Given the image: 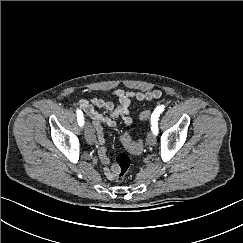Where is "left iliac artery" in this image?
<instances>
[{
  "mask_svg": "<svg viewBox=\"0 0 243 243\" xmlns=\"http://www.w3.org/2000/svg\"><path fill=\"white\" fill-rule=\"evenodd\" d=\"M163 111H164V106L161 105V106H158V107L154 110V112H153V114H152V117H151V125H152V127H151V129H152V131H153V133H154L155 135L158 134V123H157V121H158V118H159L160 114H161Z\"/></svg>",
  "mask_w": 243,
  "mask_h": 243,
  "instance_id": "left-iliac-artery-1",
  "label": "left iliac artery"
}]
</instances>
